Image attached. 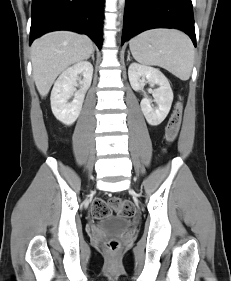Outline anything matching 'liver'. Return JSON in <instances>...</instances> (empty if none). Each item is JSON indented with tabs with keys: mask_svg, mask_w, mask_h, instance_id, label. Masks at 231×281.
<instances>
[{
	"mask_svg": "<svg viewBox=\"0 0 231 281\" xmlns=\"http://www.w3.org/2000/svg\"><path fill=\"white\" fill-rule=\"evenodd\" d=\"M94 51L86 35L57 31L36 39L31 46L33 78L39 94L47 96L57 76L70 65L86 60Z\"/></svg>",
	"mask_w": 231,
	"mask_h": 281,
	"instance_id": "1",
	"label": "liver"
}]
</instances>
